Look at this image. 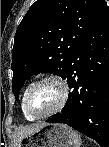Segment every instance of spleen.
<instances>
[{
	"label": "spleen",
	"instance_id": "spleen-1",
	"mask_svg": "<svg viewBox=\"0 0 109 147\" xmlns=\"http://www.w3.org/2000/svg\"><path fill=\"white\" fill-rule=\"evenodd\" d=\"M81 143L82 141L80 135L73 131V147H80Z\"/></svg>",
	"mask_w": 109,
	"mask_h": 147
}]
</instances>
